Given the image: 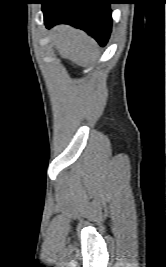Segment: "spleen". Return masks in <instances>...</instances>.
Returning a JSON list of instances; mask_svg holds the SVG:
<instances>
[{
	"instance_id": "3e777b00",
	"label": "spleen",
	"mask_w": 166,
	"mask_h": 267,
	"mask_svg": "<svg viewBox=\"0 0 166 267\" xmlns=\"http://www.w3.org/2000/svg\"><path fill=\"white\" fill-rule=\"evenodd\" d=\"M52 40L61 54L80 65L87 66L97 57L96 42L76 29L66 26L58 27L52 34Z\"/></svg>"
}]
</instances>
